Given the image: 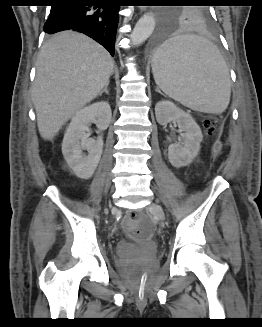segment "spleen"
Wrapping results in <instances>:
<instances>
[{
    "label": "spleen",
    "instance_id": "obj_1",
    "mask_svg": "<svg viewBox=\"0 0 262 327\" xmlns=\"http://www.w3.org/2000/svg\"><path fill=\"white\" fill-rule=\"evenodd\" d=\"M156 84L170 98L196 111L220 114L231 95L229 69L218 48L196 35H176L154 53Z\"/></svg>",
    "mask_w": 262,
    "mask_h": 327
}]
</instances>
